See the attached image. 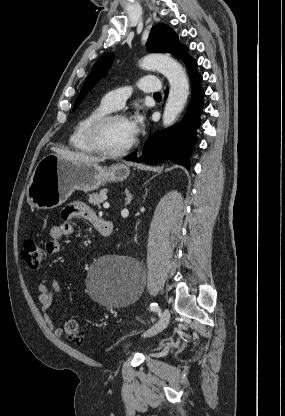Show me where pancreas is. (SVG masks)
I'll return each instance as SVG.
<instances>
[{"label": "pancreas", "instance_id": "pancreas-1", "mask_svg": "<svg viewBox=\"0 0 285 416\" xmlns=\"http://www.w3.org/2000/svg\"><path fill=\"white\" fill-rule=\"evenodd\" d=\"M108 190H100L99 194H88L90 204L94 206H100L104 202V196H106Z\"/></svg>", "mask_w": 285, "mask_h": 416}]
</instances>
